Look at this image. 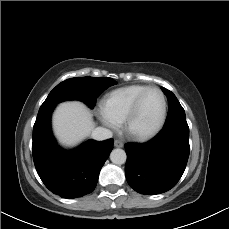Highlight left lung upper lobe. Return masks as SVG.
Wrapping results in <instances>:
<instances>
[{"instance_id":"left-lung-upper-lobe-1","label":"left lung upper lobe","mask_w":229,"mask_h":229,"mask_svg":"<svg viewBox=\"0 0 229 229\" xmlns=\"http://www.w3.org/2000/svg\"><path fill=\"white\" fill-rule=\"evenodd\" d=\"M162 91L165 95H167L168 100V115L165 125H169L180 120H186L185 111L174 93L164 87H162Z\"/></svg>"}]
</instances>
